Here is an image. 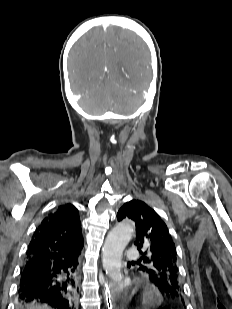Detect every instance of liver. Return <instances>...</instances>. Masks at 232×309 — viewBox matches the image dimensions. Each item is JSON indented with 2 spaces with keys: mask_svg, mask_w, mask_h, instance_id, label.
<instances>
[{
  "mask_svg": "<svg viewBox=\"0 0 232 309\" xmlns=\"http://www.w3.org/2000/svg\"><path fill=\"white\" fill-rule=\"evenodd\" d=\"M29 309H52V308L48 307L47 305H42V306L38 305V306H32Z\"/></svg>",
  "mask_w": 232,
  "mask_h": 309,
  "instance_id": "liver-1",
  "label": "liver"
}]
</instances>
